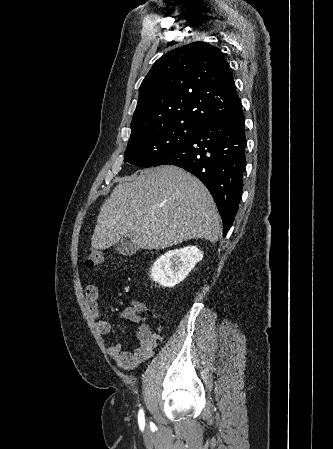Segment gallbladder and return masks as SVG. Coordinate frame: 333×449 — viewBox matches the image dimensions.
I'll use <instances>...</instances> for the list:
<instances>
[{
	"label": "gallbladder",
	"mask_w": 333,
	"mask_h": 449,
	"mask_svg": "<svg viewBox=\"0 0 333 449\" xmlns=\"http://www.w3.org/2000/svg\"><path fill=\"white\" fill-rule=\"evenodd\" d=\"M115 250L122 255L128 256L137 252L138 246L131 237H123L115 246Z\"/></svg>",
	"instance_id": "obj_1"
}]
</instances>
